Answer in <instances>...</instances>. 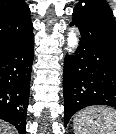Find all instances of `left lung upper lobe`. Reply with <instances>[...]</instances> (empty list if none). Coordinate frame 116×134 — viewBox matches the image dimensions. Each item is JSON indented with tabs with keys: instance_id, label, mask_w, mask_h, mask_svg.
Here are the masks:
<instances>
[{
	"instance_id": "5c2ea615",
	"label": "left lung upper lobe",
	"mask_w": 116,
	"mask_h": 134,
	"mask_svg": "<svg viewBox=\"0 0 116 134\" xmlns=\"http://www.w3.org/2000/svg\"><path fill=\"white\" fill-rule=\"evenodd\" d=\"M74 9L88 10L94 9L113 16L112 10L105 0H80Z\"/></svg>"
}]
</instances>
